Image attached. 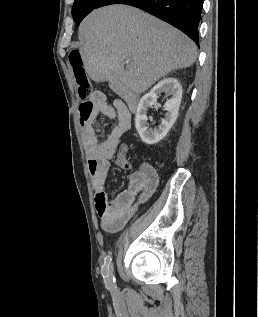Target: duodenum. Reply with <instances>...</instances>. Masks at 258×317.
Returning a JSON list of instances; mask_svg holds the SVG:
<instances>
[{
	"instance_id": "duodenum-1",
	"label": "duodenum",
	"mask_w": 258,
	"mask_h": 317,
	"mask_svg": "<svg viewBox=\"0 0 258 317\" xmlns=\"http://www.w3.org/2000/svg\"><path fill=\"white\" fill-rule=\"evenodd\" d=\"M132 107H133V108H135V107H136V105L134 104V105H132Z\"/></svg>"
}]
</instances>
